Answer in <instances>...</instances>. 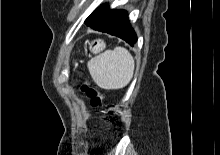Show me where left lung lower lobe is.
Returning a JSON list of instances; mask_svg holds the SVG:
<instances>
[{
	"instance_id": "obj_1",
	"label": "left lung lower lobe",
	"mask_w": 220,
	"mask_h": 155,
	"mask_svg": "<svg viewBox=\"0 0 220 155\" xmlns=\"http://www.w3.org/2000/svg\"><path fill=\"white\" fill-rule=\"evenodd\" d=\"M85 24L94 30L117 36L132 46L137 42L125 10H111L107 4L101 5L85 20Z\"/></svg>"
}]
</instances>
